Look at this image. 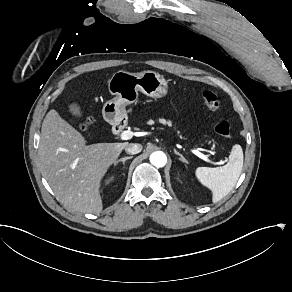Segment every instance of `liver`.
Returning <instances> with one entry per match:
<instances>
[{
	"instance_id": "6515ba94",
	"label": "liver",
	"mask_w": 292,
	"mask_h": 292,
	"mask_svg": "<svg viewBox=\"0 0 292 292\" xmlns=\"http://www.w3.org/2000/svg\"><path fill=\"white\" fill-rule=\"evenodd\" d=\"M128 145L124 142L86 146L81 133L50 110L42 123L38 148L42 175L67 210L99 213L100 181Z\"/></svg>"
}]
</instances>
